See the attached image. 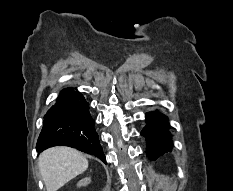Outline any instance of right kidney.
<instances>
[{"label":"right kidney","mask_w":233,"mask_h":191,"mask_svg":"<svg viewBox=\"0 0 233 191\" xmlns=\"http://www.w3.org/2000/svg\"><path fill=\"white\" fill-rule=\"evenodd\" d=\"M91 182V178L90 177H86V178H83L82 180H80L77 184L78 187H81V186H86L88 185L89 183Z\"/></svg>","instance_id":"right-kidney-1"}]
</instances>
